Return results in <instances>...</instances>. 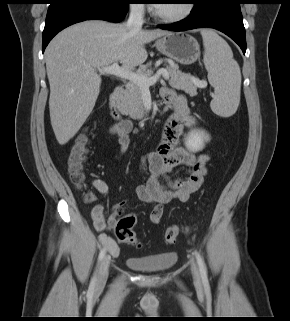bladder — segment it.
<instances>
[{
	"label": "bladder",
	"mask_w": 290,
	"mask_h": 321,
	"mask_svg": "<svg viewBox=\"0 0 290 321\" xmlns=\"http://www.w3.org/2000/svg\"><path fill=\"white\" fill-rule=\"evenodd\" d=\"M177 254L175 252L160 254L150 257H128L126 264L131 268L146 272L158 273L170 269L175 263Z\"/></svg>",
	"instance_id": "1"
}]
</instances>
